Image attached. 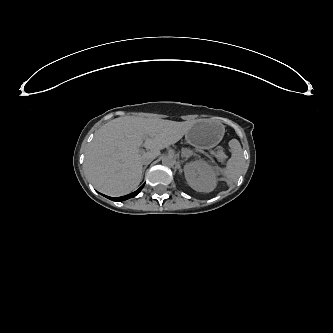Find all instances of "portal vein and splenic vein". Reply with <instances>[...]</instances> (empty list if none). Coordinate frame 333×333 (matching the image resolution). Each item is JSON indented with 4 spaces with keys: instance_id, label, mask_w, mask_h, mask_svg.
Masks as SVG:
<instances>
[{
    "instance_id": "18ae733b",
    "label": "portal vein and splenic vein",
    "mask_w": 333,
    "mask_h": 333,
    "mask_svg": "<svg viewBox=\"0 0 333 333\" xmlns=\"http://www.w3.org/2000/svg\"><path fill=\"white\" fill-rule=\"evenodd\" d=\"M140 152H141V153H145V151H144V150H141Z\"/></svg>"
}]
</instances>
